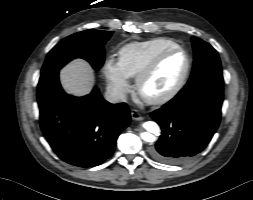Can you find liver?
Returning <instances> with one entry per match:
<instances>
[{"mask_svg": "<svg viewBox=\"0 0 253 200\" xmlns=\"http://www.w3.org/2000/svg\"><path fill=\"white\" fill-rule=\"evenodd\" d=\"M60 79L67 93L82 96L91 91L94 74L91 66L85 60L76 59L61 70Z\"/></svg>", "mask_w": 253, "mask_h": 200, "instance_id": "obj_1", "label": "liver"}]
</instances>
